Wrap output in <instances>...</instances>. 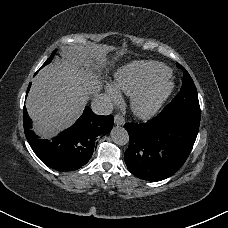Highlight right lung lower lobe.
Masks as SVG:
<instances>
[{"mask_svg": "<svg viewBox=\"0 0 228 228\" xmlns=\"http://www.w3.org/2000/svg\"><path fill=\"white\" fill-rule=\"evenodd\" d=\"M113 122L112 115L99 116L86 107L74 125L52 140H42L30 130L25 106L23 110L24 132L30 146L41 161L58 171H72L85 165L93 154L96 137L109 133Z\"/></svg>", "mask_w": 228, "mask_h": 228, "instance_id": "1", "label": "right lung lower lobe"}]
</instances>
